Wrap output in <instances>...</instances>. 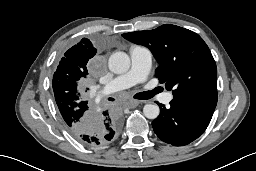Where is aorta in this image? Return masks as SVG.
<instances>
[{
    "instance_id": "aorta-1",
    "label": "aorta",
    "mask_w": 256,
    "mask_h": 171,
    "mask_svg": "<svg viewBox=\"0 0 256 171\" xmlns=\"http://www.w3.org/2000/svg\"><path fill=\"white\" fill-rule=\"evenodd\" d=\"M108 65L109 69L116 74L125 73L130 68V58L125 52H115L109 57ZM143 113L148 119H156L160 109L156 104H146L143 107Z\"/></svg>"
}]
</instances>
